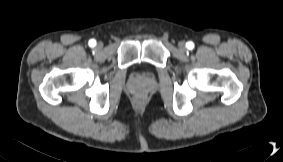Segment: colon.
I'll return each instance as SVG.
<instances>
[{
    "instance_id": "5ec220e1",
    "label": "colon",
    "mask_w": 283,
    "mask_h": 162,
    "mask_svg": "<svg viewBox=\"0 0 283 162\" xmlns=\"http://www.w3.org/2000/svg\"><path fill=\"white\" fill-rule=\"evenodd\" d=\"M142 101V98L141 97H138L137 98V102H141Z\"/></svg>"
}]
</instances>
